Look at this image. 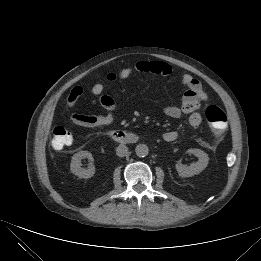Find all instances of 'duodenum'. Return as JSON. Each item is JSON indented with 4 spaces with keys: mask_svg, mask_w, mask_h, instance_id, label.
Segmentation results:
<instances>
[{
    "mask_svg": "<svg viewBox=\"0 0 261 261\" xmlns=\"http://www.w3.org/2000/svg\"><path fill=\"white\" fill-rule=\"evenodd\" d=\"M110 137L120 143H135L138 140L136 134L125 130L115 129L110 132Z\"/></svg>",
    "mask_w": 261,
    "mask_h": 261,
    "instance_id": "410a0bca",
    "label": "duodenum"
}]
</instances>
